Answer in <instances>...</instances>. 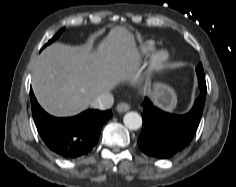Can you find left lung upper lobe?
I'll return each instance as SVG.
<instances>
[{
  "label": "left lung upper lobe",
  "mask_w": 236,
  "mask_h": 187,
  "mask_svg": "<svg viewBox=\"0 0 236 187\" xmlns=\"http://www.w3.org/2000/svg\"><path fill=\"white\" fill-rule=\"evenodd\" d=\"M196 73H197L198 80H199L200 90L206 91L205 75H204L203 66L201 63L197 66Z\"/></svg>",
  "instance_id": "obj_1"
}]
</instances>
